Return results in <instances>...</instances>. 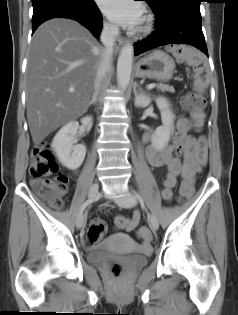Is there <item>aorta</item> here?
Here are the masks:
<instances>
[{"mask_svg":"<svg viewBox=\"0 0 238 315\" xmlns=\"http://www.w3.org/2000/svg\"><path fill=\"white\" fill-rule=\"evenodd\" d=\"M134 47L127 42L122 47L117 61V79L119 88L126 90L129 86L132 71Z\"/></svg>","mask_w":238,"mask_h":315,"instance_id":"aorta-1","label":"aorta"}]
</instances>
